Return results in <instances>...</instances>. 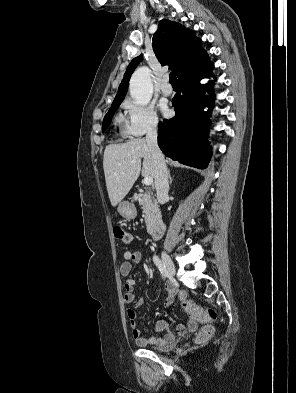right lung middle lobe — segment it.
Returning <instances> with one entry per match:
<instances>
[{"mask_svg": "<svg viewBox=\"0 0 296 393\" xmlns=\"http://www.w3.org/2000/svg\"><path fill=\"white\" fill-rule=\"evenodd\" d=\"M121 102H122V100H117L112 103L111 108L109 109L108 113L104 117L102 131H105V129L109 126L111 118L113 117L115 111L118 109Z\"/></svg>", "mask_w": 296, "mask_h": 393, "instance_id": "1", "label": "right lung middle lobe"}]
</instances>
